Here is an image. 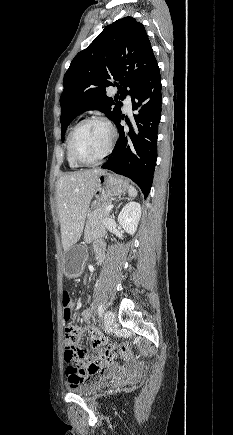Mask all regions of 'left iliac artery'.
I'll use <instances>...</instances> for the list:
<instances>
[{"label":"left iliac artery","mask_w":233,"mask_h":435,"mask_svg":"<svg viewBox=\"0 0 233 435\" xmlns=\"http://www.w3.org/2000/svg\"><path fill=\"white\" fill-rule=\"evenodd\" d=\"M103 312H104V306L102 304H100L98 306V315H99V317H102Z\"/></svg>","instance_id":"obj_1"}]
</instances>
